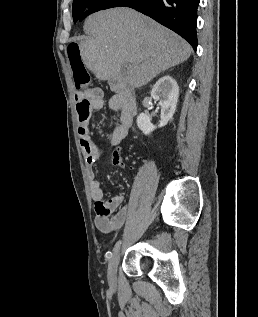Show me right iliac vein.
Segmentation results:
<instances>
[{
    "label": "right iliac vein",
    "mask_w": 258,
    "mask_h": 317,
    "mask_svg": "<svg viewBox=\"0 0 258 317\" xmlns=\"http://www.w3.org/2000/svg\"><path fill=\"white\" fill-rule=\"evenodd\" d=\"M121 250L119 249L118 252H116V255L113 256V258L110 259V263L109 266L107 267V270L109 271V276L110 277H115L116 276V271H117V266L118 263L120 261V257H121Z\"/></svg>",
    "instance_id": "right-iliac-vein-1"
}]
</instances>
